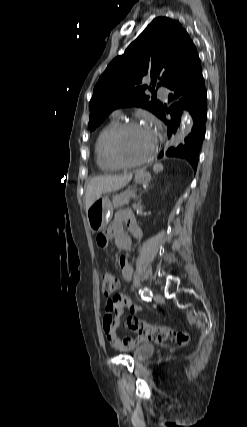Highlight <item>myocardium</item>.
Returning <instances> with one entry per match:
<instances>
[{"mask_svg":"<svg viewBox=\"0 0 247 427\" xmlns=\"http://www.w3.org/2000/svg\"><path fill=\"white\" fill-rule=\"evenodd\" d=\"M137 127H142V125L136 121H127V122L120 123L108 139L107 152H108L109 158L112 160L113 163H115L120 168L142 165L148 162L155 153V150L157 147L156 139L154 140V143L151 146L150 150L140 159L130 161L122 157L118 148L120 139L127 130L131 128H137Z\"/></svg>","mask_w":247,"mask_h":427,"instance_id":"1","label":"myocardium"}]
</instances>
